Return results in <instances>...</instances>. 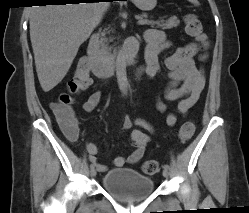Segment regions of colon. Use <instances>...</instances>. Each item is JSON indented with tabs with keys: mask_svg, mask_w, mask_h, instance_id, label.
I'll return each mask as SVG.
<instances>
[{
	"mask_svg": "<svg viewBox=\"0 0 249 213\" xmlns=\"http://www.w3.org/2000/svg\"><path fill=\"white\" fill-rule=\"evenodd\" d=\"M184 22L186 33L197 39L202 44L203 49H206L208 40L202 31L198 18L194 14L188 13L184 16ZM202 58L204 59L205 55ZM91 82L90 68L86 61L82 59L77 65L73 78L67 85V92L60 94L56 101L50 103V108L60 124L66 127L73 124L75 119L71 106L74 96L86 90L91 85ZM194 131L195 124L192 121H187L181 125L178 137L181 141H186L193 135ZM142 171L146 175L155 174L158 171L157 161L153 159L146 160L142 165Z\"/></svg>",
	"mask_w": 249,
	"mask_h": 213,
	"instance_id": "1",
	"label": "colon"
}]
</instances>
